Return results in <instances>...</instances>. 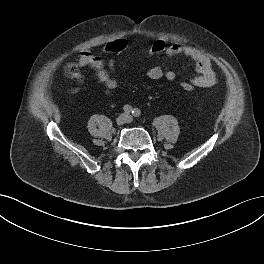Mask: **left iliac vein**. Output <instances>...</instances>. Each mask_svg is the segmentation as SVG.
<instances>
[{
    "label": "left iliac vein",
    "instance_id": "1",
    "mask_svg": "<svg viewBox=\"0 0 264 264\" xmlns=\"http://www.w3.org/2000/svg\"><path fill=\"white\" fill-rule=\"evenodd\" d=\"M132 118L130 116H127V122H131Z\"/></svg>",
    "mask_w": 264,
    "mask_h": 264
}]
</instances>
